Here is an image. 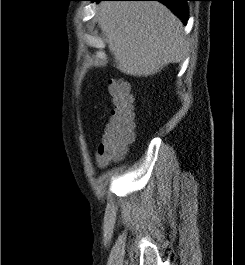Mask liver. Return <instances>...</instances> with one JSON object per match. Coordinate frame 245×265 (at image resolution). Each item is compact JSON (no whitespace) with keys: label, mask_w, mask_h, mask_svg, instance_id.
<instances>
[{"label":"liver","mask_w":245,"mask_h":265,"mask_svg":"<svg viewBox=\"0 0 245 265\" xmlns=\"http://www.w3.org/2000/svg\"><path fill=\"white\" fill-rule=\"evenodd\" d=\"M96 19L116 66L126 74L154 75L187 52L183 23L159 2H100Z\"/></svg>","instance_id":"obj_1"}]
</instances>
